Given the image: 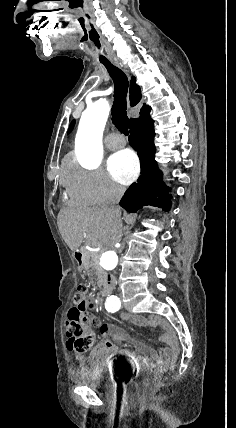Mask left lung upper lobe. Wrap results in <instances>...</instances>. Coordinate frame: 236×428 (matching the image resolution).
Returning a JSON list of instances; mask_svg holds the SVG:
<instances>
[{
    "instance_id": "1",
    "label": "left lung upper lobe",
    "mask_w": 236,
    "mask_h": 428,
    "mask_svg": "<svg viewBox=\"0 0 236 428\" xmlns=\"http://www.w3.org/2000/svg\"><path fill=\"white\" fill-rule=\"evenodd\" d=\"M74 123H75V121L73 120V121L71 122L70 126H69L68 133H70V132H71V130H72L73 126H74Z\"/></svg>"
}]
</instances>
